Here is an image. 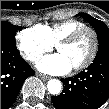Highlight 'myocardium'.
I'll return each mask as SVG.
<instances>
[{
  "mask_svg": "<svg viewBox=\"0 0 109 109\" xmlns=\"http://www.w3.org/2000/svg\"><path fill=\"white\" fill-rule=\"evenodd\" d=\"M85 32H90L92 34V37H93L92 50H91L89 57L83 63H81L80 65H77L75 67H72V70H74V71H80V70L86 69L93 63L94 59L96 58L98 48H99V36H98L97 31L92 27L84 26V27L74 31L67 37L61 39L56 44L57 50L60 46L71 45Z\"/></svg>",
  "mask_w": 109,
  "mask_h": 109,
  "instance_id": "f54148a6",
  "label": "myocardium"
}]
</instances>
